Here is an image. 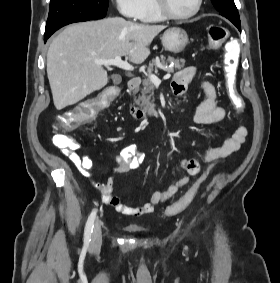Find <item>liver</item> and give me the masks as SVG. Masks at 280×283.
Here are the masks:
<instances>
[{
	"mask_svg": "<svg viewBox=\"0 0 280 283\" xmlns=\"http://www.w3.org/2000/svg\"><path fill=\"white\" fill-rule=\"evenodd\" d=\"M166 28L110 17L66 27L47 52V75L56 109L73 105L108 82L107 71L95 60L125 56L135 64L150 55L149 45Z\"/></svg>",
	"mask_w": 280,
	"mask_h": 283,
	"instance_id": "obj_1",
	"label": "liver"
}]
</instances>
